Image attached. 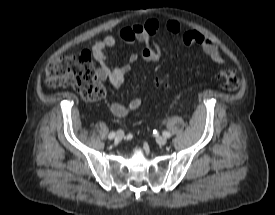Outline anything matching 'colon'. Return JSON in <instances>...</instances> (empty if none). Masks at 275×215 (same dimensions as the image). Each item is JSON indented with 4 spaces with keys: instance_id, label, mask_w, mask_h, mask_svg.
Listing matches in <instances>:
<instances>
[{
    "instance_id": "obj_1",
    "label": "colon",
    "mask_w": 275,
    "mask_h": 215,
    "mask_svg": "<svg viewBox=\"0 0 275 215\" xmlns=\"http://www.w3.org/2000/svg\"><path fill=\"white\" fill-rule=\"evenodd\" d=\"M221 85L228 91H237L241 82L236 74L221 68L217 71ZM46 83L53 88L72 87L86 100H99L105 90L95 76L92 58L87 51H78L71 56L53 58L46 68ZM169 77L162 78L158 85H166Z\"/></svg>"
}]
</instances>
